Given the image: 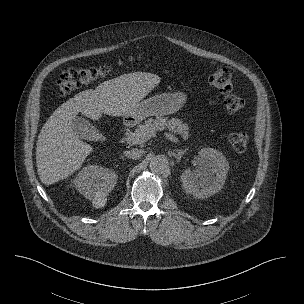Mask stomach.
I'll return each instance as SVG.
<instances>
[{
  "instance_id": "0dacf381",
  "label": "stomach",
  "mask_w": 304,
  "mask_h": 304,
  "mask_svg": "<svg viewBox=\"0 0 304 304\" xmlns=\"http://www.w3.org/2000/svg\"><path fill=\"white\" fill-rule=\"evenodd\" d=\"M186 95L183 92L161 93L139 102L133 109L129 119L142 121L149 116H164L173 114L184 105Z\"/></svg>"
}]
</instances>
